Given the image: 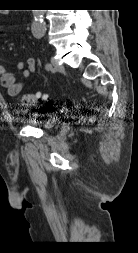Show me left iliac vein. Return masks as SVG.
Instances as JSON below:
<instances>
[{
	"instance_id": "left-iliac-vein-1",
	"label": "left iliac vein",
	"mask_w": 138,
	"mask_h": 253,
	"mask_svg": "<svg viewBox=\"0 0 138 253\" xmlns=\"http://www.w3.org/2000/svg\"><path fill=\"white\" fill-rule=\"evenodd\" d=\"M51 64H52V70L55 72L62 71L64 69L63 66L59 65L58 62L54 58L51 59Z\"/></svg>"
}]
</instances>
